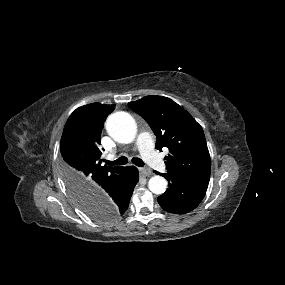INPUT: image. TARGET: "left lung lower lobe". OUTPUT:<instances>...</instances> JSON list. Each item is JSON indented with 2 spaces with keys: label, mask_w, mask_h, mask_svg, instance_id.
Instances as JSON below:
<instances>
[{
  "label": "left lung lower lobe",
  "mask_w": 285,
  "mask_h": 285,
  "mask_svg": "<svg viewBox=\"0 0 285 285\" xmlns=\"http://www.w3.org/2000/svg\"><path fill=\"white\" fill-rule=\"evenodd\" d=\"M155 173L160 174L155 171ZM168 180V188L157 198L160 206L171 213H188L202 201L208 185L184 180L171 173L160 174Z\"/></svg>",
  "instance_id": "1"
}]
</instances>
